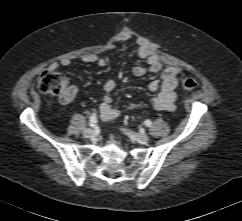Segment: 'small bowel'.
Segmentation results:
<instances>
[{
    "label": "small bowel",
    "mask_w": 242,
    "mask_h": 221,
    "mask_svg": "<svg viewBox=\"0 0 242 221\" xmlns=\"http://www.w3.org/2000/svg\"><path fill=\"white\" fill-rule=\"evenodd\" d=\"M127 41H134L136 43L138 56L147 62V65L138 64L133 67L132 73L135 76L140 77L147 73H160V81L153 80L148 85L151 92H157V94L150 100L151 106L156 110L168 112L174 111L177 99V76L180 69L174 66H164L157 53L150 47L146 39L127 34L121 35L117 39L118 43ZM81 61L85 64H97L101 67L106 65V60L96 54H85L82 56ZM70 64L71 60L69 58H63L59 62L51 63L49 69L56 70L59 66L67 67ZM116 87L117 82L114 79L108 80L104 85V97L99 107L100 117L104 121L116 119L121 114L118 109L112 106L113 99L111 93ZM73 93L74 90L71 91L69 99L62 102H69Z\"/></svg>",
    "instance_id": "1"
}]
</instances>
